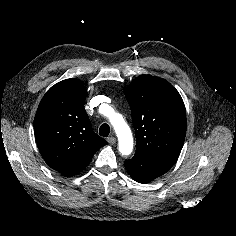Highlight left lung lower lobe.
Segmentation results:
<instances>
[{
    "label": "left lung lower lobe",
    "mask_w": 236,
    "mask_h": 236,
    "mask_svg": "<svg viewBox=\"0 0 236 236\" xmlns=\"http://www.w3.org/2000/svg\"><path fill=\"white\" fill-rule=\"evenodd\" d=\"M173 164L135 154L125 161L129 175L139 183H148L166 173Z\"/></svg>",
    "instance_id": "left-lung-lower-lobe-1"
}]
</instances>
